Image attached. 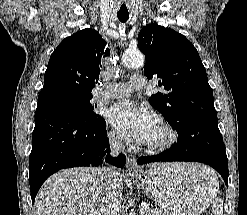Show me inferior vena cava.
<instances>
[{
  "instance_id": "inferior-vena-cava-1",
  "label": "inferior vena cava",
  "mask_w": 247,
  "mask_h": 215,
  "mask_svg": "<svg viewBox=\"0 0 247 215\" xmlns=\"http://www.w3.org/2000/svg\"><path fill=\"white\" fill-rule=\"evenodd\" d=\"M109 143H110L111 155L117 156L120 150L122 149L121 141L117 139H111ZM101 179L107 184H109V186L112 189H116L120 183L119 173L115 170L114 167L111 166L104 167L102 169ZM113 193L114 196L108 202L109 210L107 215H117V213L119 212V208L121 206V201L118 198V193H116V191H113Z\"/></svg>"
}]
</instances>
